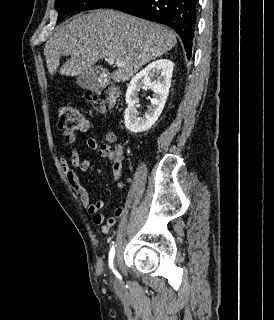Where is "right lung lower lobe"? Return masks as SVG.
<instances>
[{
	"label": "right lung lower lobe",
	"instance_id": "98d812e1",
	"mask_svg": "<svg viewBox=\"0 0 274 320\" xmlns=\"http://www.w3.org/2000/svg\"><path fill=\"white\" fill-rule=\"evenodd\" d=\"M198 0H112L111 8L173 28L181 37L187 57H191L196 29Z\"/></svg>",
	"mask_w": 274,
	"mask_h": 320
}]
</instances>
